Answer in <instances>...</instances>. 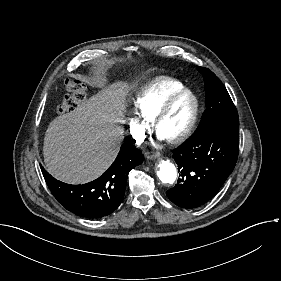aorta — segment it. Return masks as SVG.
<instances>
[{
    "label": "aorta",
    "mask_w": 281,
    "mask_h": 281,
    "mask_svg": "<svg viewBox=\"0 0 281 281\" xmlns=\"http://www.w3.org/2000/svg\"><path fill=\"white\" fill-rule=\"evenodd\" d=\"M157 175L162 183L173 184L177 177V171L169 160H163L158 166Z\"/></svg>",
    "instance_id": "obj_1"
}]
</instances>
